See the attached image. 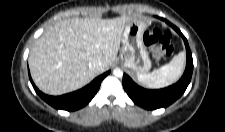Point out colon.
<instances>
[{
	"mask_svg": "<svg viewBox=\"0 0 225 132\" xmlns=\"http://www.w3.org/2000/svg\"><path fill=\"white\" fill-rule=\"evenodd\" d=\"M143 40L157 58L169 56L173 53L172 35L168 31H161L156 27L149 28L145 31Z\"/></svg>",
	"mask_w": 225,
	"mask_h": 132,
	"instance_id": "colon-1",
	"label": "colon"
}]
</instances>
